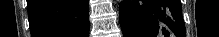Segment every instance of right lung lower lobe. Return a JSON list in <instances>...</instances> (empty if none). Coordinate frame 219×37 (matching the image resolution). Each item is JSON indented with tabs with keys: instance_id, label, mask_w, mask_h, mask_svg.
I'll return each instance as SVG.
<instances>
[{
	"instance_id": "1",
	"label": "right lung lower lobe",
	"mask_w": 219,
	"mask_h": 37,
	"mask_svg": "<svg viewBox=\"0 0 219 37\" xmlns=\"http://www.w3.org/2000/svg\"><path fill=\"white\" fill-rule=\"evenodd\" d=\"M88 0H28L32 37H88Z\"/></svg>"
}]
</instances>
